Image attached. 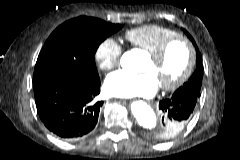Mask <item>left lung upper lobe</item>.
<instances>
[{"instance_id": "1", "label": "left lung upper lobe", "mask_w": 240, "mask_h": 160, "mask_svg": "<svg viewBox=\"0 0 240 160\" xmlns=\"http://www.w3.org/2000/svg\"><path fill=\"white\" fill-rule=\"evenodd\" d=\"M184 32L187 34L188 38L192 41V43L196 48V54H197L196 70L193 73V75L190 77V79L186 83H184V85L181 86L175 92V94H188V95H194L195 97L199 98L200 88H201L202 78H203L202 57L193 38L190 36V34L186 30H184ZM179 125L180 124L178 123L175 124L176 127H178ZM165 129H166L165 122H163L162 126L154 131L153 137L159 140L168 139V138L162 137V134L165 132Z\"/></svg>"}]
</instances>
